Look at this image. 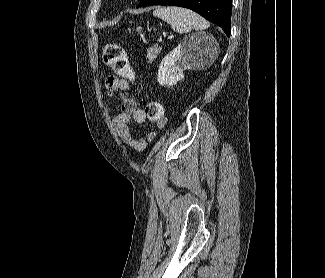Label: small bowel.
<instances>
[{"mask_svg": "<svg viewBox=\"0 0 325 278\" xmlns=\"http://www.w3.org/2000/svg\"><path fill=\"white\" fill-rule=\"evenodd\" d=\"M105 88L109 97L118 94L121 98V108L114 117L113 123L123 142L137 152L144 150L147 144L154 140V134L149 133L145 137H134L131 132L130 122L134 120L142 123L146 117L144 111L138 107L137 102L125 95L129 88V81L117 76H109L105 81Z\"/></svg>", "mask_w": 325, "mask_h": 278, "instance_id": "1", "label": "small bowel"}]
</instances>
